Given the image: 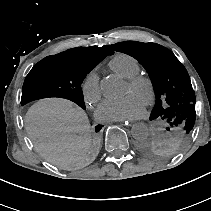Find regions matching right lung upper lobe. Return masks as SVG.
Returning <instances> with one entry per match:
<instances>
[{"label":"right lung upper lobe","instance_id":"cb5924a9","mask_svg":"<svg viewBox=\"0 0 211 211\" xmlns=\"http://www.w3.org/2000/svg\"><path fill=\"white\" fill-rule=\"evenodd\" d=\"M113 53L114 52L111 49H109L108 46H102V47L91 46V47H77L69 49L59 54L69 55L79 58L104 59L107 55H112Z\"/></svg>","mask_w":211,"mask_h":211}]
</instances>
